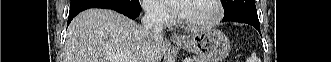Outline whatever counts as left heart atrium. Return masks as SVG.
I'll return each mask as SVG.
<instances>
[{
  "instance_id": "39dd6f15",
  "label": "left heart atrium",
  "mask_w": 331,
  "mask_h": 62,
  "mask_svg": "<svg viewBox=\"0 0 331 62\" xmlns=\"http://www.w3.org/2000/svg\"><path fill=\"white\" fill-rule=\"evenodd\" d=\"M161 2L163 4H165L172 13L184 15L189 1H187V0H161Z\"/></svg>"
}]
</instances>
